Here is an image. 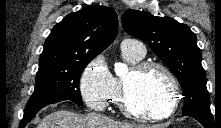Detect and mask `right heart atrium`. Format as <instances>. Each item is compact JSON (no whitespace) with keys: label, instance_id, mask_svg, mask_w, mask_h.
I'll use <instances>...</instances> for the list:
<instances>
[{"label":"right heart atrium","instance_id":"1","mask_svg":"<svg viewBox=\"0 0 221 128\" xmlns=\"http://www.w3.org/2000/svg\"><path fill=\"white\" fill-rule=\"evenodd\" d=\"M80 93L90 110L102 112L115 92L114 79L103 55L91 58L80 77Z\"/></svg>","mask_w":221,"mask_h":128}]
</instances>
